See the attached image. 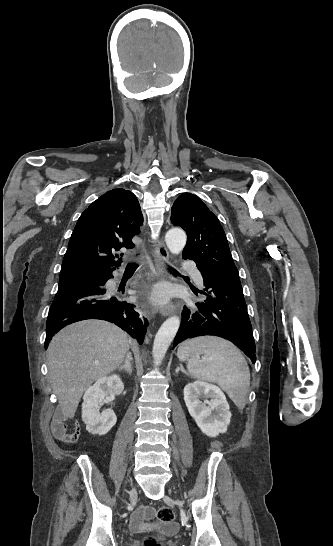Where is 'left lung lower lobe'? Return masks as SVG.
Wrapping results in <instances>:
<instances>
[{
  "label": "left lung lower lobe",
  "instance_id": "0a47b994",
  "mask_svg": "<svg viewBox=\"0 0 333 546\" xmlns=\"http://www.w3.org/2000/svg\"><path fill=\"white\" fill-rule=\"evenodd\" d=\"M183 258L192 259L188 256ZM197 267L206 287L200 293L207 298L191 308L185 307L174 347L187 338L219 336L234 343L255 363L252 325L239 278L216 277L199 264Z\"/></svg>",
  "mask_w": 333,
  "mask_h": 546
}]
</instances>
